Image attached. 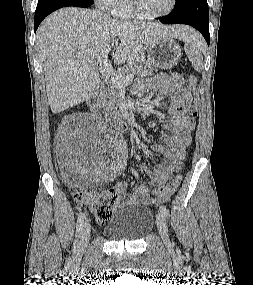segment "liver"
Listing matches in <instances>:
<instances>
[{
	"instance_id": "1",
	"label": "liver",
	"mask_w": 253,
	"mask_h": 285,
	"mask_svg": "<svg viewBox=\"0 0 253 285\" xmlns=\"http://www.w3.org/2000/svg\"><path fill=\"white\" fill-rule=\"evenodd\" d=\"M193 30L160 23L118 21L100 10L66 7L49 15L37 31L48 103L57 114L85 101L100 76L96 56L106 53L115 63L134 62L161 38L182 39Z\"/></svg>"
}]
</instances>
